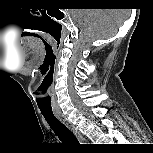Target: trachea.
I'll use <instances>...</instances> for the list:
<instances>
[{
	"instance_id": "obj_1",
	"label": "trachea",
	"mask_w": 153,
	"mask_h": 153,
	"mask_svg": "<svg viewBox=\"0 0 153 153\" xmlns=\"http://www.w3.org/2000/svg\"><path fill=\"white\" fill-rule=\"evenodd\" d=\"M42 115L44 116L45 120L54 131V133L58 136V138L66 144L74 145L79 144L78 140L76 139L75 135L68 129L60 120L56 118L53 112H44L41 111Z\"/></svg>"
}]
</instances>
